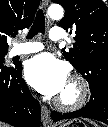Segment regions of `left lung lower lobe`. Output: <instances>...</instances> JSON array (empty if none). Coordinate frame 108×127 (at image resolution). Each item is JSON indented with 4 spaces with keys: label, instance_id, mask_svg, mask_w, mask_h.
<instances>
[{
    "label": "left lung lower lobe",
    "instance_id": "obj_1",
    "mask_svg": "<svg viewBox=\"0 0 108 127\" xmlns=\"http://www.w3.org/2000/svg\"><path fill=\"white\" fill-rule=\"evenodd\" d=\"M91 99L85 107L71 113H58L53 111V121L77 117L91 118L108 124V87L104 85L90 88Z\"/></svg>",
    "mask_w": 108,
    "mask_h": 127
}]
</instances>
